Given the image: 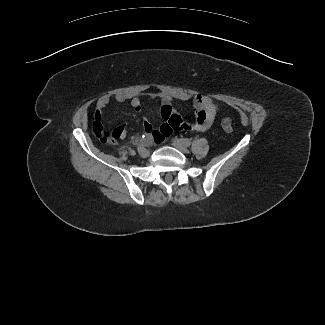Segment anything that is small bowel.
<instances>
[{
    "mask_svg": "<svg viewBox=\"0 0 325 325\" xmlns=\"http://www.w3.org/2000/svg\"><path fill=\"white\" fill-rule=\"evenodd\" d=\"M151 99H158L161 102L160 115L166 122L158 129H154L151 122L143 117V128L147 134L152 135L156 140L161 141L168 137L173 131H206L210 129L216 120L219 113V106L215 100L202 95H192L186 92H159L149 94ZM175 100L190 101L193 110L190 116L194 119L193 123H184V120L179 116L172 106ZM111 101L119 103L129 102L130 105L138 112L142 111L143 101L141 96L131 93H113L100 97L97 102L95 111V119L103 120V111ZM121 131L120 138L126 136L125 125L116 127ZM114 129V130H115Z\"/></svg>",
    "mask_w": 325,
    "mask_h": 325,
    "instance_id": "small-bowel-1",
    "label": "small bowel"
}]
</instances>
